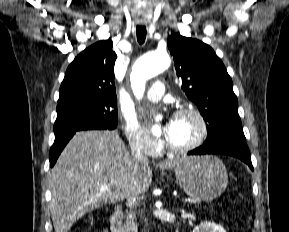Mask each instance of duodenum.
<instances>
[{"instance_id": "410a0bca", "label": "duodenum", "mask_w": 289, "mask_h": 232, "mask_svg": "<svg viewBox=\"0 0 289 232\" xmlns=\"http://www.w3.org/2000/svg\"><path fill=\"white\" fill-rule=\"evenodd\" d=\"M121 217H122V209L121 207H116L110 217L111 232H125L122 225Z\"/></svg>"}]
</instances>
